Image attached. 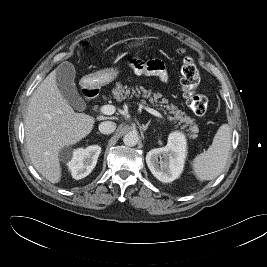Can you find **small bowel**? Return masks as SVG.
<instances>
[{
	"instance_id": "1",
	"label": "small bowel",
	"mask_w": 267,
	"mask_h": 267,
	"mask_svg": "<svg viewBox=\"0 0 267 267\" xmlns=\"http://www.w3.org/2000/svg\"><path fill=\"white\" fill-rule=\"evenodd\" d=\"M130 65L133 71L138 75L147 74L158 76L163 82L168 80L165 65L160 60L142 61L139 59H132Z\"/></svg>"
}]
</instances>
